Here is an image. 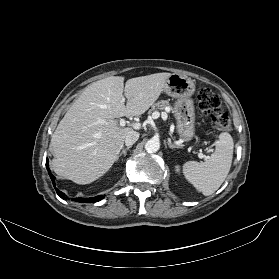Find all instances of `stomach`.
I'll use <instances>...</instances> for the list:
<instances>
[{"label":"stomach","mask_w":279,"mask_h":279,"mask_svg":"<svg viewBox=\"0 0 279 279\" xmlns=\"http://www.w3.org/2000/svg\"><path fill=\"white\" fill-rule=\"evenodd\" d=\"M164 92L175 98L173 113L177 122V132L186 141L195 133V111L191 96L195 92L193 80L180 74H171L167 79Z\"/></svg>","instance_id":"obj_1"}]
</instances>
